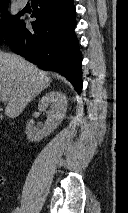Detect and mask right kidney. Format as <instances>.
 <instances>
[{
  "instance_id": "right-kidney-1",
  "label": "right kidney",
  "mask_w": 128,
  "mask_h": 213,
  "mask_svg": "<svg viewBox=\"0 0 128 213\" xmlns=\"http://www.w3.org/2000/svg\"><path fill=\"white\" fill-rule=\"evenodd\" d=\"M47 111V120L41 130L36 129L33 119L29 120L26 125V134L28 140L39 142L50 135L63 121L67 110V98L61 91H51L45 94L38 103L40 111Z\"/></svg>"
}]
</instances>
